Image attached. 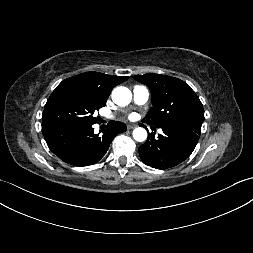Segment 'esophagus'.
<instances>
[{
    "label": "esophagus",
    "mask_w": 253,
    "mask_h": 253,
    "mask_svg": "<svg viewBox=\"0 0 253 253\" xmlns=\"http://www.w3.org/2000/svg\"><path fill=\"white\" fill-rule=\"evenodd\" d=\"M135 127H136L135 124H129V125H127V128H128L129 130L134 129Z\"/></svg>",
    "instance_id": "esophagus-1"
}]
</instances>
